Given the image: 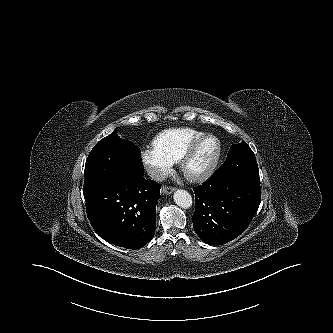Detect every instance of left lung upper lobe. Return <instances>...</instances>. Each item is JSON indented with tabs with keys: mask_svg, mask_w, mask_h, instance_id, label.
Returning a JSON list of instances; mask_svg holds the SVG:
<instances>
[{
	"mask_svg": "<svg viewBox=\"0 0 333 333\" xmlns=\"http://www.w3.org/2000/svg\"><path fill=\"white\" fill-rule=\"evenodd\" d=\"M223 165H229L227 169L235 176L260 181L255 155L244 141L231 146Z\"/></svg>",
	"mask_w": 333,
	"mask_h": 333,
	"instance_id": "left-lung-upper-lobe-1",
	"label": "left lung upper lobe"
}]
</instances>
